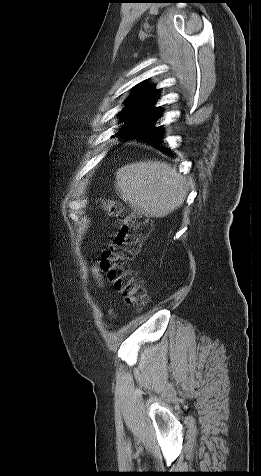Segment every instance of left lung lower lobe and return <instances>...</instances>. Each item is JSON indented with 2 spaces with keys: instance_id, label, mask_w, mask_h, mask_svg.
Segmentation results:
<instances>
[{
  "instance_id": "0a47b994",
  "label": "left lung lower lobe",
  "mask_w": 261,
  "mask_h": 476,
  "mask_svg": "<svg viewBox=\"0 0 261 476\" xmlns=\"http://www.w3.org/2000/svg\"><path fill=\"white\" fill-rule=\"evenodd\" d=\"M146 120L139 122H132L129 125L122 127L117 136L124 139H138L147 144H151L159 148L165 154L172 156V152L168 147H165L162 143L161 130L159 127H154L155 120Z\"/></svg>"
}]
</instances>
